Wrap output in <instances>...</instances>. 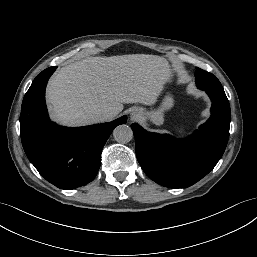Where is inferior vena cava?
I'll return each mask as SVG.
<instances>
[{"mask_svg":"<svg viewBox=\"0 0 257 257\" xmlns=\"http://www.w3.org/2000/svg\"><path fill=\"white\" fill-rule=\"evenodd\" d=\"M117 115V112L115 111H108V110H102L97 112L96 118L99 122H104L107 120H111Z\"/></svg>","mask_w":257,"mask_h":257,"instance_id":"inferior-vena-cava-1","label":"inferior vena cava"}]
</instances>
